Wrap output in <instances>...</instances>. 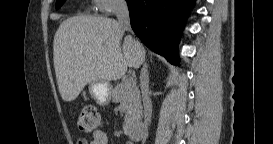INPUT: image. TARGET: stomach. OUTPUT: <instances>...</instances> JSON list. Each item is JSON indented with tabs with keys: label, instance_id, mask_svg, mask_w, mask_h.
<instances>
[{
	"label": "stomach",
	"instance_id": "0dacf381",
	"mask_svg": "<svg viewBox=\"0 0 273 144\" xmlns=\"http://www.w3.org/2000/svg\"><path fill=\"white\" fill-rule=\"evenodd\" d=\"M111 90V85L105 81H97L89 84L91 97L101 106H106L110 103Z\"/></svg>",
	"mask_w": 273,
	"mask_h": 144
}]
</instances>
